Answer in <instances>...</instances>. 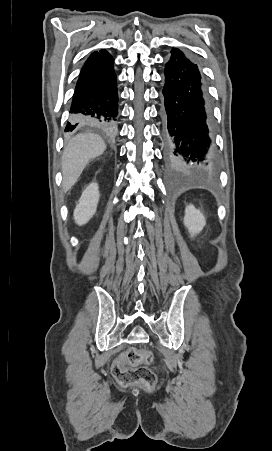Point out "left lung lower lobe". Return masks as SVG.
Returning <instances> with one entry per match:
<instances>
[{
	"instance_id": "0a47b994",
	"label": "left lung lower lobe",
	"mask_w": 272,
	"mask_h": 451,
	"mask_svg": "<svg viewBox=\"0 0 272 451\" xmlns=\"http://www.w3.org/2000/svg\"><path fill=\"white\" fill-rule=\"evenodd\" d=\"M164 73L161 120L167 162L175 167L214 168L209 106L198 65L173 48Z\"/></svg>"
}]
</instances>
